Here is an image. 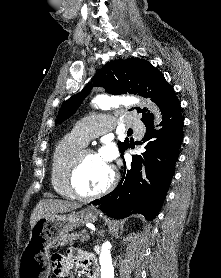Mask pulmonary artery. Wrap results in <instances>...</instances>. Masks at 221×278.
Listing matches in <instances>:
<instances>
[{"mask_svg":"<svg viewBox=\"0 0 221 278\" xmlns=\"http://www.w3.org/2000/svg\"><path fill=\"white\" fill-rule=\"evenodd\" d=\"M124 121L129 128L143 130L142 122L133 116H127ZM115 122L116 119L113 117H99L95 120L80 122L74 127L71 134L86 144L91 139L109 131Z\"/></svg>","mask_w":221,"mask_h":278,"instance_id":"obj_1","label":"pulmonary artery"}]
</instances>
